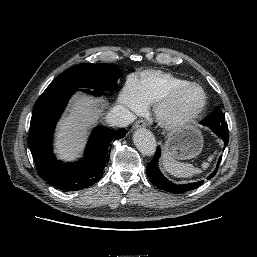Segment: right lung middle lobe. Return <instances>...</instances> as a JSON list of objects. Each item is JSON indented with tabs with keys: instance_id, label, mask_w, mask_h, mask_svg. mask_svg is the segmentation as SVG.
I'll use <instances>...</instances> for the list:
<instances>
[{
	"instance_id": "1",
	"label": "right lung middle lobe",
	"mask_w": 257,
	"mask_h": 257,
	"mask_svg": "<svg viewBox=\"0 0 257 257\" xmlns=\"http://www.w3.org/2000/svg\"><path fill=\"white\" fill-rule=\"evenodd\" d=\"M122 74L120 69L110 64H81L61 73L44 93L77 88L113 90Z\"/></svg>"
}]
</instances>
